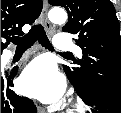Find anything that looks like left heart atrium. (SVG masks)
I'll use <instances>...</instances> for the list:
<instances>
[{
    "label": "left heart atrium",
    "mask_w": 121,
    "mask_h": 113,
    "mask_svg": "<svg viewBox=\"0 0 121 113\" xmlns=\"http://www.w3.org/2000/svg\"><path fill=\"white\" fill-rule=\"evenodd\" d=\"M21 89L45 103L58 101L65 91V80L55 64L47 59L33 61L21 78Z\"/></svg>",
    "instance_id": "obj_1"
}]
</instances>
